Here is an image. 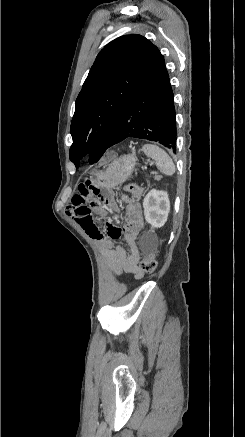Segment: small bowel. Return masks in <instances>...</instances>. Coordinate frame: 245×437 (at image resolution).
Instances as JSON below:
<instances>
[{
    "instance_id": "small-bowel-1",
    "label": "small bowel",
    "mask_w": 245,
    "mask_h": 437,
    "mask_svg": "<svg viewBox=\"0 0 245 437\" xmlns=\"http://www.w3.org/2000/svg\"><path fill=\"white\" fill-rule=\"evenodd\" d=\"M108 161L113 153L107 150L104 153ZM95 186L89 180L78 183V195H74L67 207V214L72 217L82 230L101 247L102 252L113 270L116 277L122 274H131L134 277H140L142 271L139 267L140 254L137 247V237L144 226L142 208L138 203L127 202L124 206L125 223L122 227L113 222L107 223V235L100 232L94 223L91 212L93 207L100 206V200L94 199L91 203H85L89 192H93ZM99 196L109 203L114 204L110 192H101ZM120 210V207H117ZM123 239L129 246L127 252L122 246L117 245V241Z\"/></svg>"
}]
</instances>
